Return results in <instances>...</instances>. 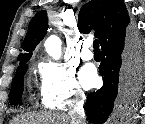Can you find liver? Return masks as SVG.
<instances>
[{
  "instance_id": "6515ba94",
  "label": "liver",
  "mask_w": 145,
  "mask_h": 124,
  "mask_svg": "<svg viewBox=\"0 0 145 124\" xmlns=\"http://www.w3.org/2000/svg\"><path fill=\"white\" fill-rule=\"evenodd\" d=\"M10 124H72L71 119L58 113H26L13 119Z\"/></svg>"
}]
</instances>
